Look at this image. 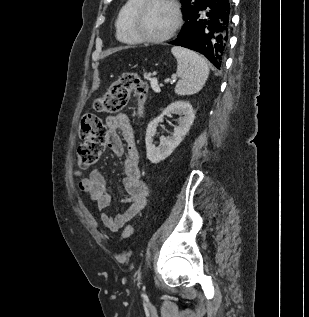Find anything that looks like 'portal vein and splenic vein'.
I'll use <instances>...</instances> for the list:
<instances>
[{"label": "portal vein and splenic vein", "instance_id": "18ae733b", "mask_svg": "<svg viewBox=\"0 0 309 317\" xmlns=\"http://www.w3.org/2000/svg\"><path fill=\"white\" fill-rule=\"evenodd\" d=\"M169 80L167 79L166 82H168ZM151 87L153 88L154 91L158 92L160 91V88L158 86V81L156 78H152L151 79Z\"/></svg>", "mask_w": 309, "mask_h": 317}]
</instances>
